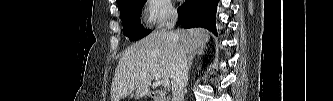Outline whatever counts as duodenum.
Wrapping results in <instances>:
<instances>
[{"instance_id": "1", "label": "duodenum", "mask_w": 333, "mask_h": 101, "mask_svg": "<svg viewBox=\"0 0 333 101\" xmlns=\"http://www.w3.org/2000/svg\"><path fill=\"white\" fill-rule=\"evenodd\" d=\"M150 96L154 101H165V97L162 92L156 91L151 93Z\"/></svg>"}]
</instances>
